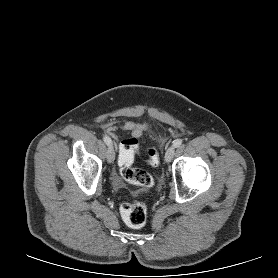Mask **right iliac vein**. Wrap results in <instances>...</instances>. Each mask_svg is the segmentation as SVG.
I'll return each mask as SVG.
<instances>
[{
    "label": "right iliac vein",
    "mask_w": 278,
    "mask_h": 278,
    "mask_svg": "<svg viewBox=\"0 0 278 278\" xmlns=\"http://www.w3.org/2000/svg\"><path fill=\"white\" fill-rule=\"evenodd\" d=\"M115 160V149L113 145H110L107 150V161L112 163Z\"/></svg>",
    "instance_id": "right-iliac-vein-1"
}]
</instances>
